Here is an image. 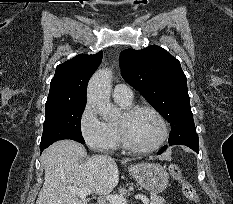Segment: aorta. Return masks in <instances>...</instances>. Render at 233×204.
Wrapping results in <instances>:
<instances>
[{
    "instance_id": "aorta-1",
    "label": "aorta",
    "mask_w": 233,
    "mask_h": 204,
    "mask_svg": "<svg viewBox=\"0 0 233 204\" xmlns=\"http://www.w3.org/2000/svg\"><path fill=\"white\" fill-rule=\"evenodd\" d=\"M112 71L98 70L90 79L87 88V101L105 121H113L119 109L110 101Z\"/></svg>"
}]
</instances>
